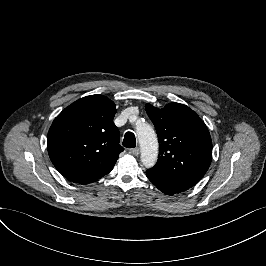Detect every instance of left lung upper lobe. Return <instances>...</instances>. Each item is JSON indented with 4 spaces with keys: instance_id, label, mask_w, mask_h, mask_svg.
<instances>
[{
    "instance_id": "5c2ea615",
    "label": "left lung upper lobe",
    "mask_w": 266,
    "mask_h": 266,
    "mask_svg": "<svg viewBox=\"0 0 266 266\" xmlns=\"http://www.w3.org/2000/svg\"><path fill=\"white\" fill-rule=\"evenodd\" d=\"M159 140V158L148 169L165 178L192 187L207 172L212 161V141L199 116L179 103L163 109L146 104Z\"/></svg>"
}]
</instances>
